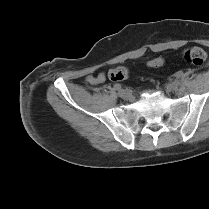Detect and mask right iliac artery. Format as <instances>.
Masks as SVG:
<instances>
[{
	"instance_id": "82829eb1",
	"label": "right iliac artery",
	"mask_w": 209,
	"mask_h": 209,
	"mask_svg": "<svg viewBox=\"0 0 209 209\" xmlns=\"http://www.w3.org/2000/svg\"><path fill=\"white\" fill-rule=\"evenodd\" d=\"M114 89L115 90H121V85L120 84H115Z\"/></svg>"
}]
</instances>
